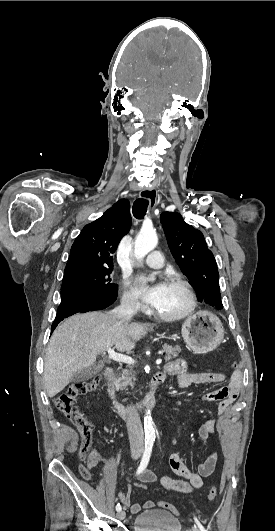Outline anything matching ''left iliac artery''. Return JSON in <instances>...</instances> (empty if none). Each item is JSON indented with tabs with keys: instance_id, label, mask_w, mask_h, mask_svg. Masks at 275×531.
I'll return each mask as SVG.
<instances>
[{
	"instance_id": "obj_1",
	"label": "left iliac artery",
	"mask_w": 275,
	"mask_h": 531,
	"mask_svg": "<svg viewBox=\"0 0 275 531\" xmlns=\"http://www.w3.org/2000/svg\"><path fill=\"white\" fill-rule=\"evenodd\" d=\"M194 519H195V522H196V524L198 525L200 531H207V530L202 526V524L199 522V520H198L196 517H194Z\"/></svg>"
}]
</instances>
